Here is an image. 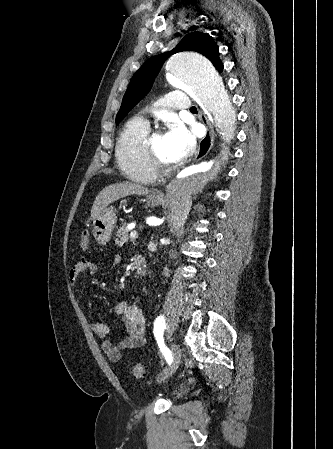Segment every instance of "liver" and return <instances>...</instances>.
I'll return each instance as SVG.
<instances>
[{
  "label": "liver",
  "instance_id": "1",
  "mask_svg": "<svg viewBox=\"0 0 333 449\" xmlns=\"http://www.w3.org/2000/svg\"><path fill=\"white\" fill-rule=\"evenodd\" d=\"M149 189L129 181L111 184L105 187L96 197L92 210L91 217L95 219L109 204L120 198L130 195H147Z\"/></svg>",
  "mask_w": 333,
  "mask_h": 449
}]
</instances>
